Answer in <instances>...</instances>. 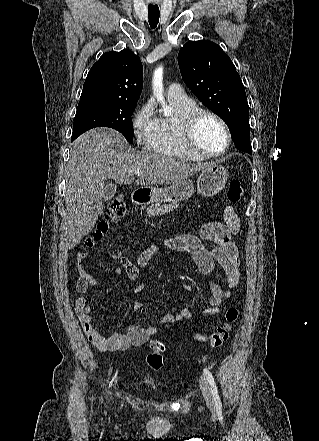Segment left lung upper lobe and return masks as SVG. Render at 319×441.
I'll return each mask as SVG.
<instances>
[{"label":"left lung upper lobe","mask_w":319,"mask_h":441,"mask_svg":"<svg viewBox=\"0 0 319 441\" xmlns=\"http://www.w3.org/2000/svg\"><path fill=\"white\" fill-rule=\"evenodd\" d=\"M178 64L186 85L227 124L236 147L251 154L249 106L229 56L216 43L189 41L179 51Z\"/></svg>","instance_id":"5c2ea615"}]
</instances>
